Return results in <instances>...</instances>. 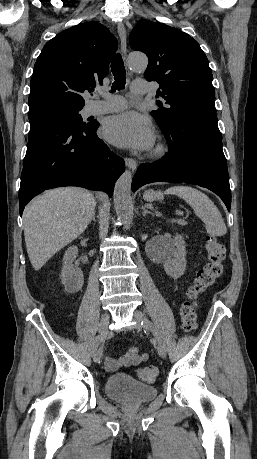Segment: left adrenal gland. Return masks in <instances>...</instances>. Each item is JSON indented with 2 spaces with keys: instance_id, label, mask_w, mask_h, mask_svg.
<instances>
[{
  "instance_id": "left-adrenal-gland-1",
  "label": "left adrenal gland",
  "mask_w": 257,
  "mask_h": 459,
  "mask_svg": "<svg viewBox=\"0 0 257 459\" xmlns=\"http://www.w3.org/2000/svg\"><path fill=\"white\" fill-rule=\"evenodd\" d=\"M148 208H150V209L152 210V207H149L148 205H144V206L142 207V215H143V216H146V214H151L152 216H154V212L149 211ZM157 213H158V212H156V214H157Z\"/></svg>"
}]
</instances>
